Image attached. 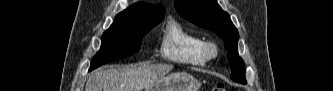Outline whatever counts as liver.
I'll list each match as a JSON object with an SVG mask.
<instances>
[{"instance_id":"obj_1","label":"liver","mask_w":333,"mask_h":91,"mask_svg":"<svg viewBox=\"0 0 333 91\" xmlns=\"http://www.w3.org/2000/svg\"><path fill=\"white\" fill-rule=\"evenodd\" d=\"M172 69L173 66L167 64L146 63L99 69L88 78L85 91H142Z\"/></svg>"}]
</instances>
